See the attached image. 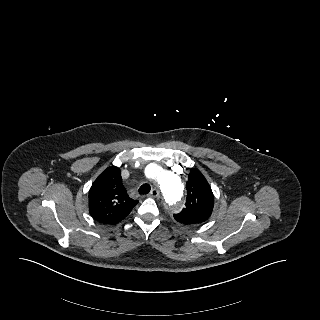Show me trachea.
<instances>
[{"label": "trachea", "instance_id": "obj_1", "mask_svg": "<svg viewBox=\"0 0 320 320\" xmlns=\"http://www.w3.org/2000/svg\"><path fill=\"white\" fill-rule=\"evenodd\" d=\"M150 190H151L150 185L145 183V184L141 185V187L139 188V193L140 194H147L150 192Z\"/></svg>", "mask_w": 320, "mask_h": 320}]
</instances>
